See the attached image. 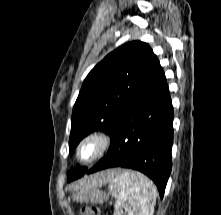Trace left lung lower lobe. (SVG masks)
<instances>
[{
    "mask_svg": "<svg viewBox=\"0 0 221 215\" xmlns=\"http://www.w3.org/2000/svg\"><path fill=\"white\" fill-rule=\"evenodd\" d=\"M173 107L157 62L143 86L120 112L108 153L88 174L112 167L138 170L152 179L161 198L171 173Z\"/></svg>",
    "mask_w": 221,
    "mask_h": 215,
    "instance_id": "obj_1",
    "label": "left lung lower lobe"
}]
</instances>
